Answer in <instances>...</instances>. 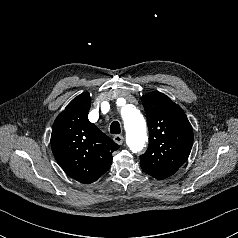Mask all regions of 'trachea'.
Segmentation results:
<instances>
[{
  "instance_id": "3493384b",
  "label": "trachea",
  "mask_w": 238,
  "mask_h": 238,
  "mask_svg": "<svg viewBox=\"0 0 238 238\" xmlns=\"http://www.w3.org/2000/svg\"><path fill=\"white\" fill-rule=\"evenodd\" d=\"M110 132L111 134H120L121 128L119 122L117 121L112 122L110 126Z\"/></svg>"
}]
</instances>
